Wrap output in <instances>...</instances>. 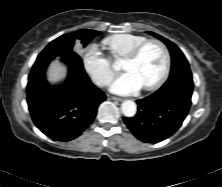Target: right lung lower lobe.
<instances>
[{"label": "right lung lower lobe", "mask_w": 222, "mask_h": 187, "mask_svg": "<svg viewBox=\"0 0 222 187\" xmlns=\"http://www.w3.org/2000/svg\"><path fill=\"white\" fill-rule=\"evenodd\" d=\"M55 56L69 66L65 84L54 91L45 78V70ZM106 99L84 71L74 53L44 49L32 67L27 84V102L35 125L48 137L69 141L78 137L94 120L97 108Z\"/></svg>", "instance_id": "obj_1"}]
</instances>
